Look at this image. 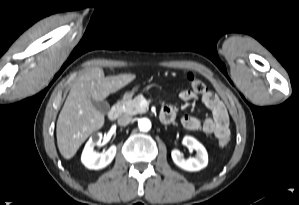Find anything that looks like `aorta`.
<instances>
[{
  "label": "aorta",
  "instance_id": "obj_1",
  "mask_svg": "<svg viewBox=\"0 0 299 205\" xmlns=\"http://www.w3.org/2000/svg\"><path fill=\"white\" fill-rule=\"evenodd\" d=\"M138 127L141 131L147 132L151 129V122L147 118H142L138 121Z\"/></svg>",
  "mask_w": 299,
  "mask_h": 205
}]
</instances>
